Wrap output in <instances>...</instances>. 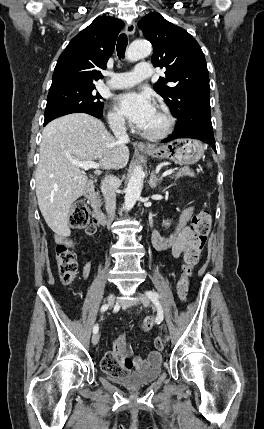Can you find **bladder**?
Returning <instances> with one entry per match:
<instances>
[{"label":"bladder","mask_w":264,"mask_h":429,"mask_svg":"<svg viewBox=\"0 0 264 429\" xmlns=\"http://www.w3.org/2000/svg\"><path fill=\"white\" fill-rule=\"evenodd\" d=\"M162 373L161 362L157 365L148 367L147 369L139 372L126 373L124 375H111L107 373L108 379L114 383L127 388H138L148 385L156 381Z\"/></svg>","instance_id":"1"}]
</instances>
